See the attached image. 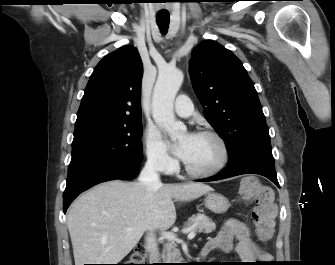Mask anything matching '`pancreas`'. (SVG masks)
<instances>
[{
  "instance_id": "1",
  "label": "pancreas",
  "mask_w": 335,
  "mask_h": 265,
  "mask_svg": "<svg viewBox=\"0 0 335 265\" xmlns=\"http://www.w3.org/2000/svg\"><path fill=\"white\" fill-rule=\"evenodd\" d=\"M184 228L208 234L216 229V224L205 214L198 213L188 219ZM162 259L168 263H179L183 260L180 250L173 243L164 246Z\"/></svg>"
}]
</instances>
